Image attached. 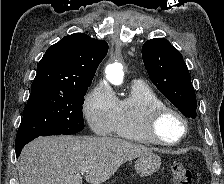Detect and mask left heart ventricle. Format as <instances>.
<instances>
[{"label":"left heart ventricle","mask_w":224,"mask_h":184,"mask_svg":"<svg viewBox=\"0 0 224 184\" xmlns=\"http://www.w3.org/2000/svg\"><path fill=\"white\" fill-rule=\"evenodd\" d=\"M158 133L165 140H176L181 137L183 126L177 118L172 115H167L160 120Z\"/></svg>","instance_id":"left-heart-ventricle-1"}]
</instances>
